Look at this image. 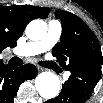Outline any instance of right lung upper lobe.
<instances>
[{
  "label": "right lung upper lobe",
  "instance_id": "obj_1",
  "mask_svg": "<svg viewBox=\"0 0 103 103\" xmlns=\"http://www.w3.org/2000/svg\"><path fill=\"white\" fill-rule=\"evenodd\" d=\"M47 7L31 5L0 6V53L6 47L13 48L21 37L26 25L35 18H46ZM3 65L0 60V66Z\"/></svg>",
  "mask_w": 103,
  "mask_h": 103
}]
</instances>
